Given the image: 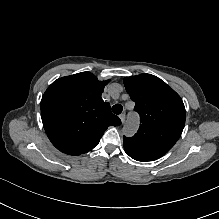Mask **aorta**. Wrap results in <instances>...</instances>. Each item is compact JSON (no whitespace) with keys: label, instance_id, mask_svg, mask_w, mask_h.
<instances>
[{"label":"aorta","instance_id":"1","mask_svg":"<svg viewBox=\"0 0 219 219\" xmlns=\"http://www.w3.org/2000/svg\"><path fill=\"white\" fill-rule=\"evenodd\" d=\"M138 124V117L136 115L132 116L123 129L124 134L127 136H132L136 132Z\"/></svg>","mask_w":219,"mask_h":219}]
</instances>
